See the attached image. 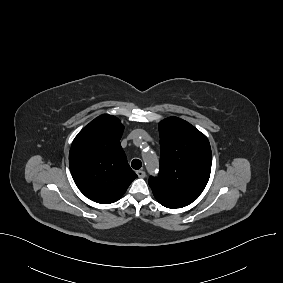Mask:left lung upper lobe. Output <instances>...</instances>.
<instances>
[{
    "instance_id": "5c2ea615",
    "label": "left lung upper lobe",
    "mask_w": 283,
    "mask_h": 283,
    "mask_svg": "<svg viewBox=\"0 0 283 283\" xmlns=\"http://www.w3.org/2000/svg\"><path fill=\"white\" fill-rule=\"evenodd\" d=\"M160 172L149 185L158 202L182 208L204 190L211 172L212 153L207 137L187 121L169 117L159 123Z\"/></svg>"
}]
</instances>
